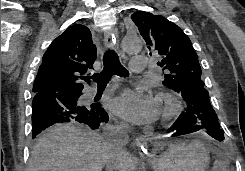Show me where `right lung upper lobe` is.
Segmentation results:
<instances>
[{
	"label": "right lung upper lobe",
	"mask_w": 245,
	"mask_h": 171,
	"mask_svg": "<svg viewBox=\"0 0 245 171\" xmlns=\"http://www.w3.org/2000/svg\"><path fill=\"white\" fill-rule=\"evenodd\" d=\"M97 57L90 30L76 24L66 29L48 47L36 76L33 92L57 93L68 89H83L90 83L84 76Z\"/></svg>",
	"instance_id": "1"
}]
</instances>
